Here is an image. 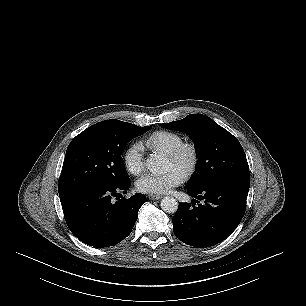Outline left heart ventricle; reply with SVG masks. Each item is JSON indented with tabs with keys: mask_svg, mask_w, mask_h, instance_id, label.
I'll return each mask as SVG.
<instances>
[{
	"mask_svg": "<svg viewBox=\"0 0 306 306\" xmlns=\"http://www.w3.org/2000/svg\"><path fill=\"white\" fill-rule=\"evenodd\" d=\"M187 162H188L187 158L184 159V161L182 163H176V162L172 161L170 158H168L167 159V167H168V169H177L178 171L183 173L184 167H185Z\"/></svg>",
	"mask_w": 306,
	"mask_h": 306,
	"instance_id": "obj_1",
	"label": "left heart ventricle"
}]
</instances>
